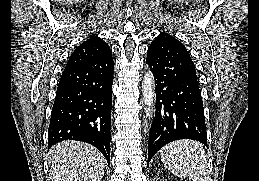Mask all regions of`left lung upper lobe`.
Segmentation results:
<instances>
[{
    "label": "left lung upper lobe",
    "instance_id": "5c2ea615",
    "mask_svg": "<svg viewBox=\"0 0 259 181\" xmlns=\"http://www.w3.org/2000/svg\"><path fill=\"white\" fill-rule=\"evenodd\" d=\"M164 36H170V35L163 32V33H161L158 37H164ZM158 37H157V38H158ZM187 63H188V65H189V70H190L192 76L195 77V78H197V77H196V71H195V65H194L192 59L190 58L189 53L187 54Z\"/></svg>",
    "mask_w": 259,
    "mask_h": 181
}]
</instances>
